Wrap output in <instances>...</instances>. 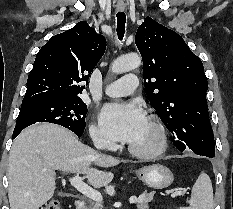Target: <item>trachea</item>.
<instances>
[{"instance_id":"obj_1","label":"trachea","mask_w":233,"mask_h":209,"mask_svg":"<svg viewBox=\"0 0 233 209\" xmlns=\"http://www.w3.org/2000/svg\"><path fill=\"white\" fill-rule=\"evenodd\" d=\"M116 16H117V35L119 39L122 40L125 34L126 15L124 12H118Z\"/></svg>"}]
</instances>
